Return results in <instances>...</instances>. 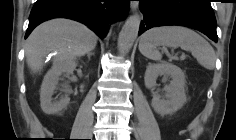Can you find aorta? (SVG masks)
I'll return each mask as SVG.
<instances>
[{
	"label": "aorta",
	"mask_w": 236,
	"mask_h": 140,
	"mask_svg": "<svg viewBox=\"0 0 236 140\" xmlns=\"http://www.w3.org/2000/svg\"><path fill=\"white\" fill-rule=\"evenodd\" d=\"M141 17L139 15L130 16L123 25L118 37V50L125 55L132 48L139 32Z\"/></svg>",
	"instance_id": "1"
}]
</instances>
